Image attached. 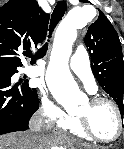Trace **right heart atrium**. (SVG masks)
I'll list each match as a JSON object with an SVG mask.
<instances>
[{
	"mask_svg": "<svg viewBox=\"0 0 124 149\" xmlns=\"http://www.w3.org/2000/svg\"><path fill=\"white\" fill-rule=\"evenodd\" d=\"M41 114L63 128L67 126L73 119L68 114H66L56 103L48 99H45L42 103Z\"/></svg>",
	"mask_w": 124,
	"mask_h": 149,
	"instance_id": "right-heart-atrium-1",
	"label": "right heart atrium"
}]
</instances>
